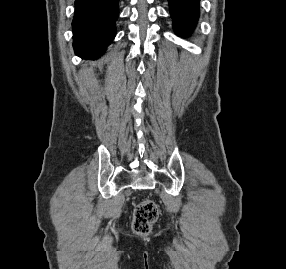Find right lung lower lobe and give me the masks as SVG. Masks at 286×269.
Segmentation results:
<instances>
[{"instance_id":"1","label":"right lung lower lobe","mask_w":286,"mask_h":269,"mask_svg":"<svg viewBox=\"0 0 286 269\" xmlns=\"http://www.w3.org/2000/svg\"><path fill=\"white\" fill-rule=\"evenodd\" d=\"M119 0H75L73 47L76 55L95 59L116 35Z\"/></svg>"}]
</instances>
